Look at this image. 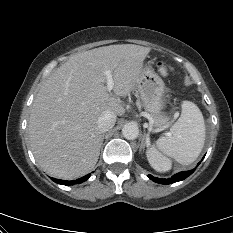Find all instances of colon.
<instances>
[{
	"label": "colon",
	"mask_w": 233,
	"mask_h": 233,
	"mask_svg": "<svg viewBox=\"0 0 233 233\" xmlns=\"http://www.w3.org/2000/svg\"><path fill=\"white\" fill-rule=\"evenodd\" d=\"M158 66H159V71L162 75L164 76L168 75L170 68L167 65L160 62ZM146 153L150 163L156 170L160 172H167L171 169L172 167L171 160L166 156H164L154 145L147 148Z\"/></svg>",
	"instance_id": "obj_1"
}]
</instances>
